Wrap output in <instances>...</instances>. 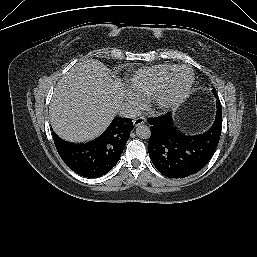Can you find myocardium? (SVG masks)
I'll list each match as a JSON object with an SVG mask.
<instances>
[{
  "instance_id": "1",
  "label": "myocardium",
  "mask_w": 257,
  "mask_h": 257,
  "mask_svg": "<svg viewBox=\"0 0 257 257\" xmlns=\"http://www.w3.org/2000/svg\"><path fill=\"white\" fill-rule=\"evenodd\" d=\"M180 71H186L189 73L188 83L178 92L171 93L169 91V83L173 76ZM195 81V76L193 71L185 66H178L168 72L165 77L162 79L157 90L150 98L152 105L159 110H167L180 102H182L190 93L192 86Z\"/></svg>"
}]
</instances>
